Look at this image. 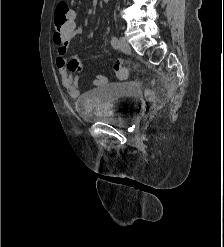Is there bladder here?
I'll return each instance as SVG.
<instances>
[{
    "label": "bladder",
    "instance_id": "1",
    "mask_svg": "<svg viewBox=\"0 0 224 247\" xmlns=\"http://www.w3.org/2000/svg\"><path fill=\"white\" fill-rule=\"evenodd\" d=\"M139 107L140 93L134 84L106 83L89 93L81 114L91 123L127 128L134 123Z\"/></svg>",
    "mask_w": 224,
    "mask_h": 247
}]
</instances>
